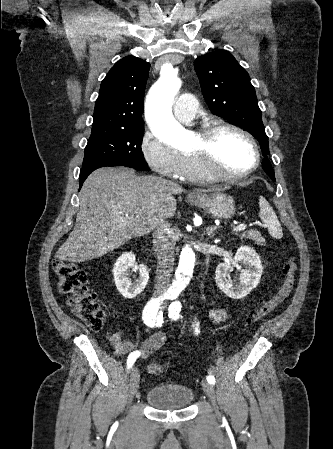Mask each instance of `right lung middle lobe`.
I'll list each match as a JSON object with an SVG mask.
<instances>
[{"instance_id":"1","label":"right lung middle lobe","mask_w":333,"mask_h":449,"mask_svg":"<svg viewBox=\"0 0 333 449\" xmlns=\"http://www.w3.org/2000/svg\"><path fill=\"white\" fill-rule=\"evenodd\" d=\"M143 126L131 129H96L85 148L83 168L127 166L147 168L141 150Z\"/></svg>"}]
</instances>
